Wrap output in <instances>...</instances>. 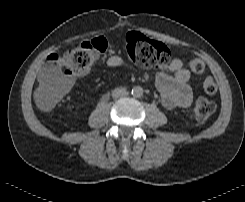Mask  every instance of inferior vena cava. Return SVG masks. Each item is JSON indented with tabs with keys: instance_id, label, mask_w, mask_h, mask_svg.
Listing matches in <instances>:
<instances>
[{
	"instance_id": "1",
	"label": "inferior vena cava",
	"mask_w": 245,
	"mask_h": 202,
	"mask_svg": "<svg viewBox=\"0 0 245 202\" xmlns=\"http://www.w3.org/2000/svg\"><path fill=\"white\" fill-rule=\"evenodd\" d=\"M127 95H128V91L125 88H122V87L115 88L112 91V97L115 98V99L121 98V97H125Z\"/></svg>"
}]
</instances>
